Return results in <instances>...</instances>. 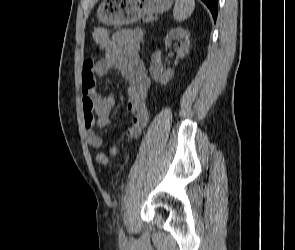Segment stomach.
Here are the masks:
<instances>
[{"instance_id":"stomach-1","label":"stomach","mask_w":295,"mask_h":250,"mask_svg":"<svg viewBox=\"0 0 295 250\" xmlns=\"http://www.w3.org/2000/svg\"><path fill=\"white\" fill-rule=\"evenodd\" d=\"M173 0H103L97 19L106 25L133 23L141 17L169 10Z\"/></svg>"}]
</instances>
